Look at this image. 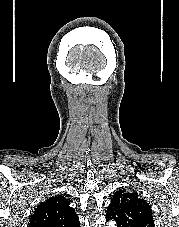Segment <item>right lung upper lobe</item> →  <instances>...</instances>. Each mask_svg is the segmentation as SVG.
I'll return each instance as SVG.
<instances>
[{"label": "right lung upper lobe", "instance_id": "right-lung-upper-lobe-1", "mask_svg": "<svg viewBox=\"0 0 179 227\" xmlns=\"http://www.w3.org/2000/svg\"><path fill=\"white\" fill-rule=\"evenodd\" d=\"M64 196L49 198L34 211L29 227H79V218Z\"/></svg>", "mask_w": 179, "mask_h": 227}]
</instances>
